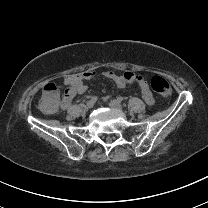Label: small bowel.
Segmentation results:
<instances>
[{"label":"small bowel","mask_w":208,"mask_h":208,"mask_svg":"<svg viewBox=\"0 0 208 208\" xmlns=\"http://www.w3.org/2000/svg\"><path fill=\"white\" fill-rule=\"evenodd\" d=\"M95 73L93 71H84L80 73H74L66 76L65 85L68 86L67 91L65 92L64 101L62 102V107L66 108L71 104L69 100L76 94H82L86 91V85L84 84L85 80H89L93 78ZM104 76L107 79L113 80L116 82L118 86H124L126 84L134 83L138 86L144 101L148 105H152L154 103V98L149 90V87L141 77L137 76L132 72L119 73L114 70H106L104 72Z\"/></svg>","instance_id":"1"}]
</instances>
